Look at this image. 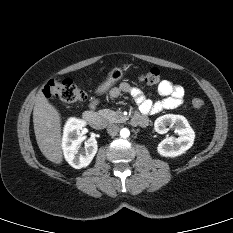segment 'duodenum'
<instances>
[{
  "mask_svg": "<svg viewBox=\"0 0 233 233\" xmlns=\"http://www.w3.org/2000/svg\"><path fill=\"white\" fill-rule=\"evenodd\" d=\"M85 121L95 129H102L105 126L104 118L94 110H88L83 115ZM133 123L138 125H145L147 120L143 117H134Z\"/></svg>",
  "mask_w": 233,
  "mask_h": 233,
  "instance_id": "obj_1",
  "label": "duodenum"
}]
</instances>
